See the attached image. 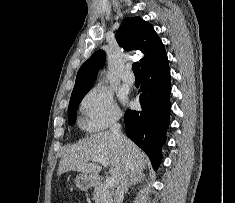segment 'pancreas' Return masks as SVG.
<instances>
[{"label":"pancreas","instance_id":"obj_1","mask_svg":"<svg viewBox=\"0 0 235 203\" xmlns=\"http://www.w3.org/2000/svg\"><path fill=\"white\" fill-rule=\"evenodd\" d=\"M92 199L95 203H113L111 193L104 187L103 184L95 186Z\"/></svg>","mask_w":235,"mask_h":203}]
</instances>
